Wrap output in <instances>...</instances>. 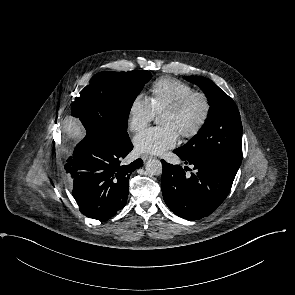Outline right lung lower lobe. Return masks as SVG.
Segmentation results:
<instances>
[{"label": "right lung lower lobe", "instance_id": "right-lung-lower-lobe-1", "mask_svg": "<svg viewBox=\"0 0 295 295\" xmlns=\"http://www.w3.org/2000/svg\"><path fill=\"white\" fill-rule=\"evenodd\" d=\"M132 149L130 139L116 143L93 131L76 145L64 168L82 214L105 221L126 205L129 177L143 165L141 159L121 164Z\"/></svg>", "mask_w": 295, "mask_h": 295}]
</instances>
